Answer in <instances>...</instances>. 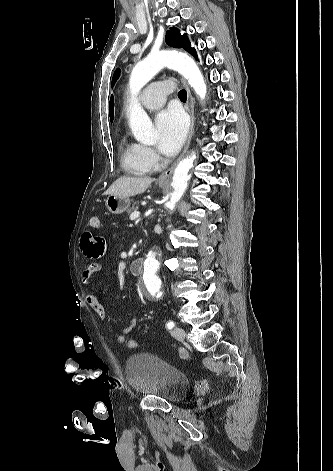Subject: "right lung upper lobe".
Here are the masks:
<instances>
[{"label": "right lung upper lobe", "mask_w": 333, "mask_h": 471, "mask_svg": "<svg viewBox=\"0 0 333 471\" xmlns=\"http://www.w3.org/2000/svg\"><path fill=\"white\" fill-rule=\"evenodd\" d=\"M109 114H110V120H111V122H112V121H113V115H114V100H113V96H111V99H110Z\"/></svg>", "instance_id": "1"}]
</instances>
